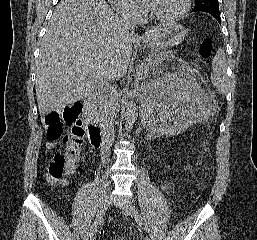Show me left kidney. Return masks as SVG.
Returning <instances> with one entry per match:
<instances>
[{"label": "left kidney", "instance_id": "obj_1", "mask_svg": "<svg viewBox=\"0 0 257 240\" xmlns=\"http://www.w3.org/2000/svg\"><path fill=\"white\" fill-rule=\"evenodd\" d=\"M144 101L147 122L160 135L181 133L206 117L207 98L195 80L184 73L151 81Z\"/></svg>", "mask_w": 257, "mask_h": 240}]
</instances>
